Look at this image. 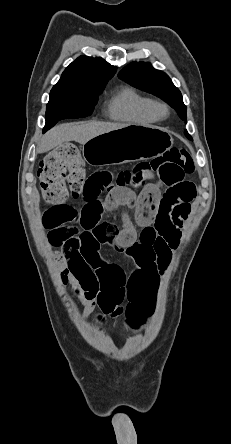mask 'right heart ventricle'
<instances>
[{
    "instance_id": "right-heart-ventricle-1",
    "label": "right heart ventricle",
    "mask_w": 231,
    "mask_h": 444,
    "mask_svg": "<svg viewBox=\"0 0 231 444\" xmlns=\"http://www.w3.org/2000/svg\"><path fill=\"white\" fill-rule=\"evenodd\" d=\"M154 100L132 87L116 92L108 102V115L121 122L154 123L158 117L152 111Z\"/></svg>"
}]
</instances>
